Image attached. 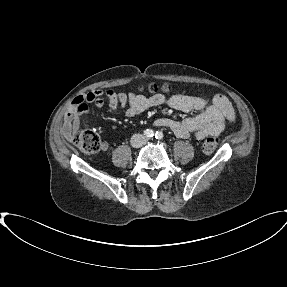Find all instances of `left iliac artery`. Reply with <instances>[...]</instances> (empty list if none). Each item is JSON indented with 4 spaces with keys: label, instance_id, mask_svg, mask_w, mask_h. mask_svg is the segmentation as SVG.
<instances>
[{
    "label": "left iliac artery",
    "instance_id": "left-iliac-artery-1",
    "mask_svg": "<svg viewBox=\"0 0 287 287\" xmlns=\"http://www.w3.org/2000/svg\"><path fill=\"white\" fill-rule=\"evenodd\" d=\"M155 138L156 139H162L163 138V133L161 132V131H157L156 133H155Z\"/></svg>",
    "mask_w": 287,
    "mask_h": 287
}]
</instances>
